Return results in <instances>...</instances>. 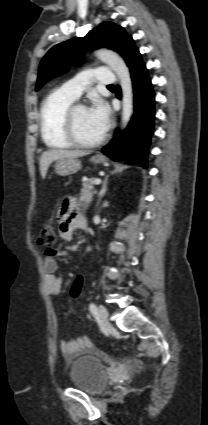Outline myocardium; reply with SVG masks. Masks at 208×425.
Listing matches in <instances>:
<instances>
[{
  "label": "myocardium",
  "instance_id": "f54148a6",
  "mask_svg": "<svg viewBox=\"0 0 208 425\" xmlns=\"http://www.w3.org/2000/svg\"><path fill=\"white\" fill-rule=\"evenodd\" d=\"M78 109H87V107L81 103H73L72 105L69 106V108L65 112L64 132H65L66 138L72 144V146L81 148V149H90V148H95L101 145L105 140V135H102L101 138L93 142L81 141L76 135L74 116H75V112Z\"/></svg>",
  "mask_w": 208,
  "mask_h": 425
}]
</instances>
